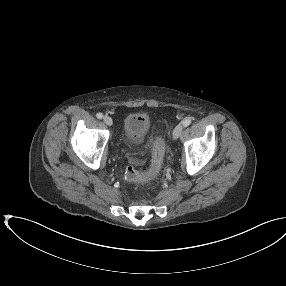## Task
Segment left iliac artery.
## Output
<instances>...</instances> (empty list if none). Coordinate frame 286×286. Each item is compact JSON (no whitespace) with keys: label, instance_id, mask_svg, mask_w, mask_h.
I'll list each match as a JSON object with an SVG mask.
<instances>
[{"label":"left iliac artery","instance_id":"left-iliac-artery-1","mask_svg":"<svg viewBox=\"0 0 286 286\" xmlns=\"http://www.w3.org/2000/svg\"><path fill=\"white\" fill-rule=\"evenodd\" d=\"M192 120L191 118H186L184 121H183V126L184 127H187L191 124Z\"/></svg>","mask_w":286,"mask_h":286}]
</instances>
